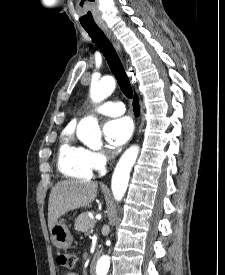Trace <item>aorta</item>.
<instances>
[{
	"label": "aorta",
	"mask_w": 225,
	"mask_h": 275,
	"mask_svg": "<svg viewBox=\"0 0 225 275\" xmlns=\"http://www.w3.org/2000/svg\"><path fill=\"white\" fill-rule=\"evenodd\" d=\"M116 86L112 76H105L99 81H92L90 86V97L94 103H99L112 94ZM77 137L91 149L101 147V131L96 118L87 116L77 125ZM139 154L138 146H131L119 159L112 175L111 188L114 198L121 201L124 197L130 178L131 169ZM110 267V258L102 256L96 266V275H107Z\"/></svg>",
	"instance_id": "aorta-1"
}]
</instances>
